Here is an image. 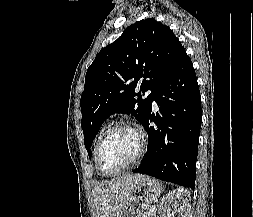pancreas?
<instances>
[{
    "mask_svg": "<svg viewBox=\"0 0 253 217\" xmlns=\"http://www.w3.org/2000/svg\"><path fill=\"white\" fill-rule=\"evenodd\" d=\"M151 207H147L145 211H143L139 216L137 217H156L155 211L150 210Z\"/></svg>",
    "mask_w": 253,
    "mask_h": 217,
    "instance_id": "pancreas-1",
    "label": "pancreas"
}]
</instances>
